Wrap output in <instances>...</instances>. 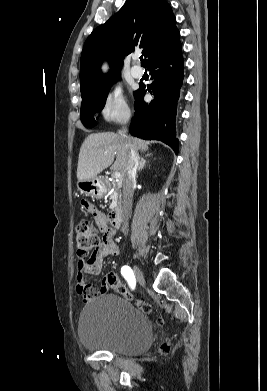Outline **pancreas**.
Listing matches in <instances>:
<instances>
[{
  "mask_svg": "<svg viewBox=\"0 0 267 391\" xmlns=\"http://www.w3.org/2000/svg\"><path fill=\"white\" fill-rule=\"evenodd\" d=\"M105 184L108 190L112 193L110 197L112 200L111 208H117L121 203V181L116 182L115 180H105Z\"/></svg>",
  "mask_w": 267,
  "mask_h": 391,
  "instance_id": "cf45deb5",
  "label": "pancreas"
}]
</instances>
